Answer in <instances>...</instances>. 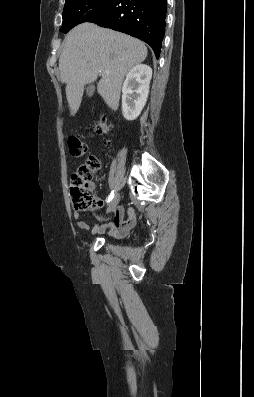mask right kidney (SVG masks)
<instances>
[{"label": "right kidney", "instance_id": "obj_1", "mask_svg": "<svg viewBox=\"0 0 254 397\" xmlns=\"http://www.w3.org/2000/svg\"><path fill=\"white\" fill-rule=\"evenodd\" d=\"M152 69L145 64L134 66L122 87V113L126 120H135L146 104Z\"/></svg>", "mask_w": 254, "mask_h": 397}]
</instances>
